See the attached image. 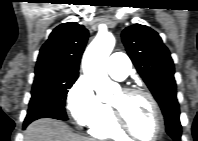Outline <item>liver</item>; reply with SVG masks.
Segmentation results:
<instances>
[{
  "instance_id": "6515ba94",
  "label": "liver",
  "mask_w": 198,
  "mask_h": 141,
  "mask_svg": "<svg viewBox=\"0 0 198 141\" xmlns=\"http://www.w3.org/2000/svg\"><path fill=\"white\" fill-rule=\"evenodd\" d=\"M24 141H92L72 132L71 128L58 120L44 118L31 123Z\"/></svg>"
}]
</instances>
